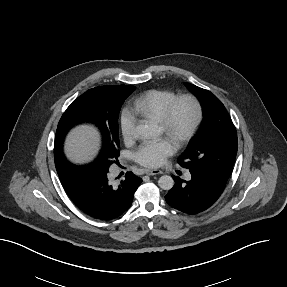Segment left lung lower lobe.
<instances>
[{"instance_id":"1","label":"left lung lower lobe","mask_w":287,"mask_h":287,"mask_svg":"<svg viewBox=\"0 0 287 287\" xmlns=\"http://www.w3.org/2000/svg\"><path fill=\"white\" fill-rule=\"evenodd\" d=\"M190 173V181L172 176L175 185L165 200L173 208L193 215L212 206L222 194L227 181L199 170H190Z\"/></svg>"}]
</instances>
